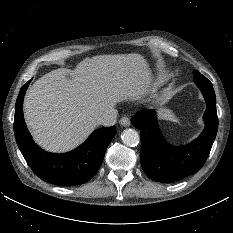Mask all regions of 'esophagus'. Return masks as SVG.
<instances>
[{
	"instance_id": "34e87169",
	"label": "esophagus",
	"mask_w": 233,
	"mask_h": 233,
	"mask_svg": "<svg viewBox=\"0 0 233 233\" xmlns=\"http://www.w3.org/2000/svg\"><path fill=\"white\" fill-rule=\"evenodd\" d=\"M120 124L124 127H127L130 125V119L127 117V116H123L121 119H120Z\"/></svg>"
}]
</instances>
